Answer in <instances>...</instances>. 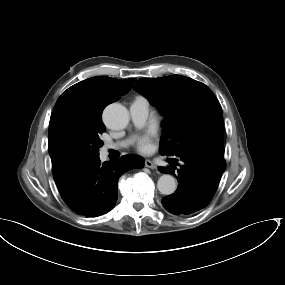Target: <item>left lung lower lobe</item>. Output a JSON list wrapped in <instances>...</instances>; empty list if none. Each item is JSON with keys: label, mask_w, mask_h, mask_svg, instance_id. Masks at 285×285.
<instances>
[{"label": "left lung lower lobe", "mask_w": 285, "mask_h": 285, "mask_svg": "<svg viewBox=\"0 0 285 285\" xmlns=\"http://www.w3.org/2000/svg\"><path fill=\"white\" fill-rule=\"evenodd\" d=\"M178 157L182 165L176 173V159L170 164L174 169L158 167L160 172L173 174L180 181L176 191L162 199V204L172 214L191 215L211 202L226 163L223 157L209 153H188Z\"/></svg>", "instance_id": "obj_1"}]
</instances>
